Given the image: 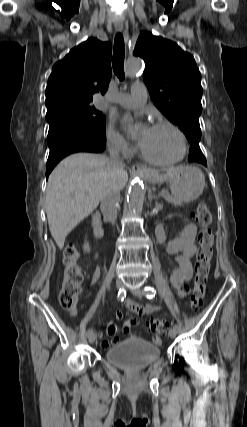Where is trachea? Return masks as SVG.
<instances>
[{
  "mask_svg": "<svg viewBox=\"0 0 247 427\" xmlns=\"http://www.w3.org/2000/svg\"><path fill=\"white\" fill-rule=\"evenodd\" d=\"M124 56H125L124 39L122 34L118 33L116 34L115 41H114L113 71L120 80H123L125 78Z\"/></svg>",
  "mask_w": 247,
  "mask_h": 427,
  "instance_id": "trachea-1",
  "label": "trachea"
}]
</instances>
